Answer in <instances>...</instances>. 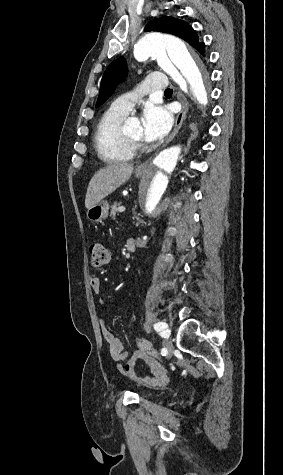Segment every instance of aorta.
Wrapping results in <instances>:
<instances>
[{"instance_id":"1","label":"aorta","mask_w":283,"mask_h":475,"mask_svg":"<svg viewBox=\"0 0 283 475\" xmlns=\"http://www.w3.org/2000/svg\"><path fill=\"white\" fill-rule=\"evenodd\" d=\"M134 57L138 61L156 59L159 66L184 92H187L189 87L201 105L208 103L207 73L196 63L182 40L160 33L146 34L135 45ZM134 124L135 121L130 120L127 127ZM194 147L193 137L164 149L149 164L137 190V215L141 219L153 217L159 212L171 183L179 175L183 163Z\"/></svg>"}]
</instances>
